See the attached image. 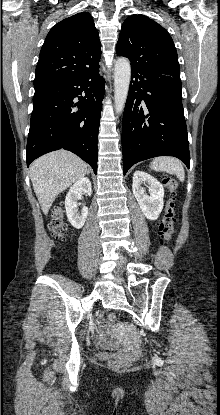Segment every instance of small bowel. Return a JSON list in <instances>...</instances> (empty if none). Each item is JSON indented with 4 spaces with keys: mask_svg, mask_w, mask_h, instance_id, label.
I'll return each mask as SVG.
<instances>
[{
    "mask_svg": "<svg viewBox=\"0 0 220 415\" xmlns=\"http://www.w3.org/2000/svg\"><path fill=\"white\" fill-rule=\"evenodd\" d=\"M96 332L98 335L99 344L104 348L110 347L111 339L109 338L105 327L103 325H98V327L96 328Z\"/></svg>",
    "mask_w": 220,
    "mask_h": 415,
    "instance_id": "small-bowel-1",
    "label": "small bowel"
}]
</instances>
